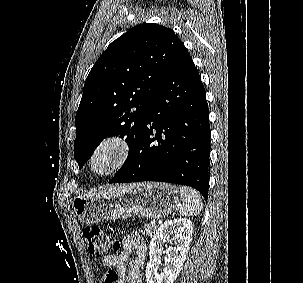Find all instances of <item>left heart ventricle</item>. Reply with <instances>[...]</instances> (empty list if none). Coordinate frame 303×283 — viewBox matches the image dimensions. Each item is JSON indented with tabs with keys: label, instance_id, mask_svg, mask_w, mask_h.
I'll list each match as a JSON object with an SVG mask.
<instances>
[{
	"label": "left heart ventricle",
	"instance_id": "obj_1",
	"mask_svg": "<svg viewBox=\"0 0 303 283\" xmlns=\"http://www.w3.org/2000/svg\"><path fill=\"white\" fill-rule=\"evenodd\" d=\"M111 157L112 156L109 151L106 150V151L102 152L97 158L96 167L98 169H103L104 167H106L108 165V163L111 160Z\"/></svg>",
	"mask_w": 303,
	"mask_h": 283
}]
</instances>
